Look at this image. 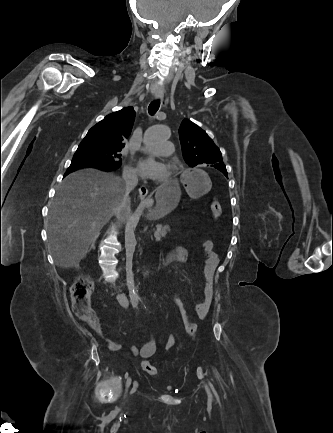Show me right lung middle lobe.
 Segmentation results:
<instances>
[{
  "mask_svg": "<svg viewBox=\"0 0 333 433\" xmlns=\"http://www.w3.org/2000/svg\"><path fill=\"white\" fill-rule=\"evenodd\" d=\"M120 151L121 149L98 147L91 141H82L72 161L96 162L116 169L122 163Z\"/></svg>",
  "mask_w": 333,
  "mask_h": 433,
  "instance_id": "obj_1",
  "label": "right lung middle lobe"
}]
</instances>
